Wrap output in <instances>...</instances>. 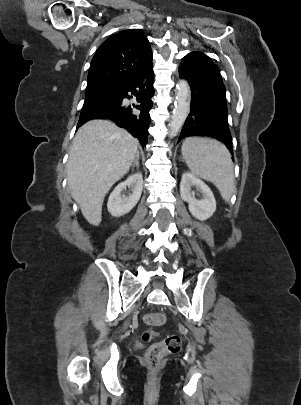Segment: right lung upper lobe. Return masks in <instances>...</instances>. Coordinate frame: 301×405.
I'll list each match as a JSON object with an SVG mask.
<instances>
[{
    "mask_svg": "<svg viewBox=\"0 0 301 405\" xmlns=\"http://www.w3.org/2000/svg\"><path fill=\"white\" fill-rule=\"evenodd\" d=\"M152 63L150 43L137 30L111 35L96 51L88 73L87 89L120 91Z\"/></svg>",
    "mask_w": 301,
    "mask_h": 405,
    "instance_id": "right-lung-upper-lobe-1",
    "label": "right lung upper lobe"
}]
</instances>
